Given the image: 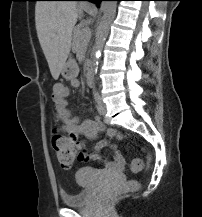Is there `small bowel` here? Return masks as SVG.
<instances>
[{"instance_id": "small-bowel-1", "label": "small bowel", "mask_w": 202, "mask_h": 217, "mask_svg": "<svg viewBox=\"0 0 202 217\" xmlns=\"http://www.w3.org/2000/svg\"><path fill=\"white\" fill-rule=\"evenodd\" d=\"M73 86L79 85V79L74 77L72 80ZM69 89L61 83H57L53 87L54 109L57 118L62 122V129L69 134L72 141H76L79 135H85L93 138L104 130V125L99 117L94 119L80 120L74 117L68 108ZM107 134L110 138L116 135L114 129H108ZM79 148H82V143H77ZM108 146L107 142L101 141L94 146L92 152L85 151V156L81 159L84 161L96 160L103 164V170L110 173H122L126 159L125 156L117 150L114 145H110L113 149V158L109 159L100 154V152Z\"/></svg>"}]
</instances>
